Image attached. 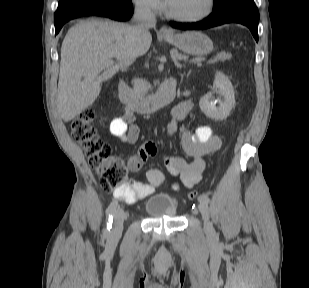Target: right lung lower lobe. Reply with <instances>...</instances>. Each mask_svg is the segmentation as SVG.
I'll list each match as a JSON object with an SVG mask.
<instances>
[{"label": "right lung lower lobe", "instance_id": "1", "mask_svg": "<svg viewBox=\"0 0 309 288\" xmlns=\"http://www.w3.org/2000/svg\"><path fill=\"white\" fill-rule=\"evenodd\" d=\"M133 13L131 1L90 0L54 18L55 33L69 20L81 16H104L114 20H129Z\"/></svg>", "mask_w": 309, "mask_h": 288}]
</instances>
